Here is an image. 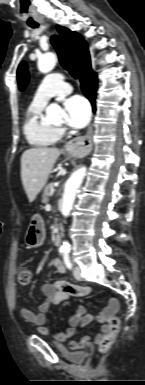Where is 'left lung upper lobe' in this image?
Wrapping results in <instances>:
<instances>
[{"label": "left lung upper lobe", "instance_id": "obj_1", "mask_svg": "<svg viewBox=\"0 0 145 385\" xmlns=\"http://www.w3.org/2000/svg\"><path fill=\"white\" fill-rule=\"evenodd\" d=\"M17 79H18L19 88L23 90L29 80L27 65L25 62H22L18 67Z\"/></svg>", "mask_w": 145, "mask_h": 385}]
</instances>
